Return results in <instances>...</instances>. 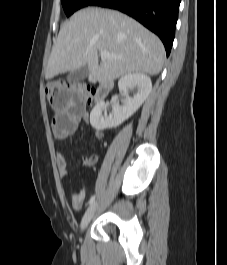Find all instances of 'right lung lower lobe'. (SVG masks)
<instances>
[{
    "label": "right lung lower lobe",
    "instance_id": "right-lung-lower-lobe-1",
    "mask_svg": "<svg viewBox=\"0 0 227 265\" xmlns=\"http://www.w3.org/2000/svg\"><path fill=\"white\" fill-rule=\"evenodd\" d=\"M181 0H93L89 5L117 9L124 12L162 40L167 56L175 36Z\"/></svg>",
    "mask_w": 227,
    "mask_h": 265
}]
</instances>
